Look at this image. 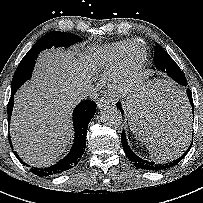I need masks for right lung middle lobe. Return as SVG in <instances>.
Listing matches in <instances>:
<instances>
[{
	"mask_svg": "<svg viewBox=\"0 0 203 203\" xmlns=\"http://www.w3.org/2000/svg\"><path fill=\"white\" fill-rule=\"evenodd\" d=\"M79 41H82V39L77 35L57 31L50 32L41 37L21 60L12 79L11 91H17V89L31 77L35 65V59L40 51L45 50L46 48H51L52 46H63L68 48ZM32 53L36 54L34 59L31 58Z\"/></svg>",
	"mask_w": 203,
	"mask_h": 203,
	"instance_id": "1",
	"label": "right lung middle lobe"
}]
</instances>
